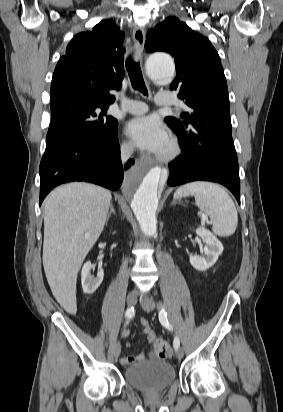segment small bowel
I'll return each mask as SVG.
<instances>
[{
	"label": "small bowel",
	"mask_w": 283,
	"mask_h": 412,
	"mask_svg": "<svg viewBox=\"0 0 283 412\" xmlns=\"http://www.w3.org/2000/svg\"><path fill=\"white\" fill-rule=\"evenodd\" d=\"M140 324L142 326L143 332L146 335V339L148 343H153L155 340V334L150 328L149 322L146 318L140 319ZM129 334L128 331L125 332V336ZM146 359V355L143 352H140L136 355H127L122 357L121 363L124 365H130L136 362H142Z\"/></svg>",
	"instance_id": "small-bowel-1"
}]
</instances>
